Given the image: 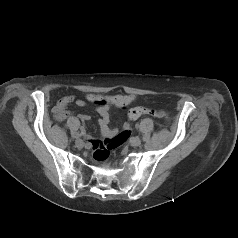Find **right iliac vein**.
Segmentation results:
<instances>
[{"instance_id":"obj_1","label":"right iliac vein","mask_w":238,"mask_h":238,"mask_svg":"<svg viewBox=\"0 0 238 238\" xmlns=\"http://www.w3.org/2000/svg\"><path fill=\"white\" fill-rule=\"evenodd\" d=\"M75 144L78 148H83L84 147V141L82 139H77Z\"/></svg>"}]
</instances>
